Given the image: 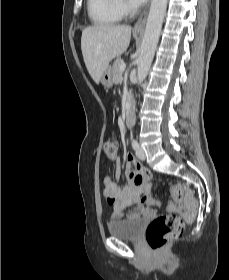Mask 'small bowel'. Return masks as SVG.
I'll list each match as a JSON object with an SVG mask.
<instances>
[{
  "label": "small bowel",
  "mask_w": 229,
  "mask_h": 280,
  "mask_svg": "<svg viewBox=\"0 0 229 280\" xmlns=\"http://www.w3.org/2000/svg\"><path fill=\"white\" fill-rule=\"evenodd\" d=\"M113 158L115 160V179L119 180L122 176L123 169L118 156L115 155ZM126 159L127 163L124 171L127 183L122 185L109 176L103 182V194L113 208L112 218L117 219L122 217L124 210L131 205L135 207L128 212V217L151 218L155 214V210L151 204V200L153 199L151 197V183L143 182L137 185L134 182V178L140 173L143 175L144 168L142 163L131 153L127 155ZM132 166H135L137 171L131 170Z\"/></svg>",
  "instance_id": "obj_1"
}]
</instances>
